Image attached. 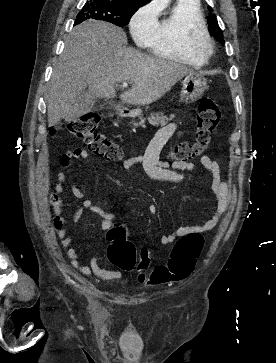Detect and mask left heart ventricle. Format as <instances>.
I'll use <instances>...</instances> for the list:
<instances>
[{
  "label": "left heart ventricle",
  "instance_id": "1",
  "mask_svg": "<svg viewBox=\"0 0 276 363\" xmlns=\"http://www.w3.org/2000/svg\"><path fill=\"white\" fill-rule=\"evenodd\" d=\"M197 43L199 44V46L201 47H204L205 46V41L203 39L202 36H200L198 39H197Z\"/></svg>",
  "mask_w": 276,
  "mask_h": 363
}]
</instances>
